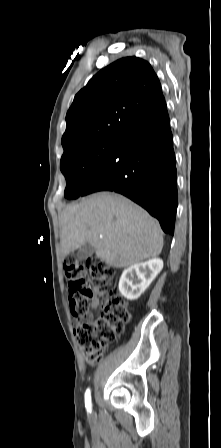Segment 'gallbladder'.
<instances>
[{
    "instance_id": "gallbladder-1",
    "label": "gallbladder",
    "mask_w": 221,
    "mask_h": 448,
    "mask_svg": "<svg viewBox=\"0 0 221 448\" xmlns=\"http://www.w3.org/2000/svg\"><path fill=\"white\" fill-rule=\"evenodd\" d=\"M92 252L93 247L89 243H86L78 249L76 256L79 260H84L88 258Z\"/></svg>"
}]
</instances>
